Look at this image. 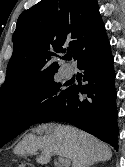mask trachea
Here are the masks:
<instances>
[{"instance_id": "obj_1", "label": "trachea", "mask_w": 125, "mask_h": 167, "mask_svg": "<svg viewBox=\"0 0 125 167\" xmlns=\"http://www.w3.org/2000/svg\"><path fill=\"white\" fill-rule=\"evenodd\" d=\"M65 59H66V60H71V59H72V55H71V54H67V55L65 56Z\"/></svg>"}]
</instances>
